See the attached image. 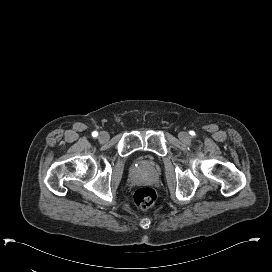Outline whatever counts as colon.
Here are the masks:
<instances>
[{
    "instance_id": "1",
    "label": "colon",
    "mask_w": 272,
    "mask_h": 272,
    "mask_svg": "<svg viewBox=\"0 0 272 272\" xmlns=\"http://www.w3.org/2000/svg\"><path fill=\"white\" fill-rule=\"evenodd\" d=\"M156 201V193L150 187L137 189L133 194V202L139 209H147Z\"/></svg>"
}]
</instances>
